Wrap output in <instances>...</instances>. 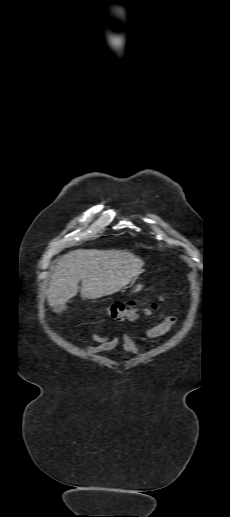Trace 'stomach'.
Wrapping results in <instances>:
<instances>
[{
    "mask_svg": "<svg viewBox=\"0 0 230 517\" xmlns=\"http://www.w3.org/2000/svg\"><path fill=\"white\" fill-rule=\"evenodd\" d=\"M143 288V282L142 281H137L135 282V280L130 284L129 286V290L131 293H137L139 292L141 289Z\"/></svg>",
    "mask_w": 230,
    "mask_h": 517,
    "instance_id": "obj_1",
    "label": "stomach"
}]
</instances>
